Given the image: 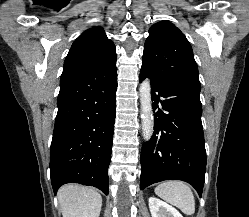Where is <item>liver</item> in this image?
<instances>
[{
	"label": "liver",
	"instance_id": "liver-1",
	"mask_svg": "<svg viewBox=\"0 0 249 217\" xmlns=\"http://www.w3.org/2000/svg\"><path fill=\"white\" fill-rule=\"evenodd\" d=\"M63 217H99L102 197L91 187L67 184L58 191Z\"/></svg>",
	"mask_w": 249,
	"mask_h": 217
}]
</instances>
